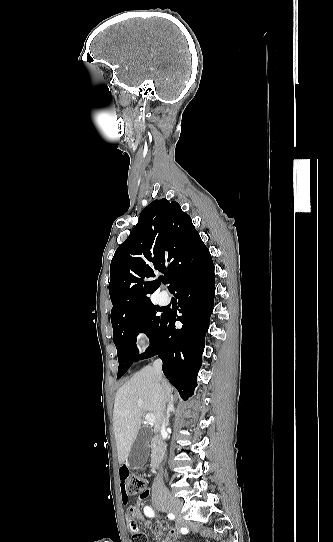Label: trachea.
I'll return each mask as SVG.
<instances>
[{
  "instance_id": "trachea-1",
  "label": "trachea",
  "mask_w": 333,
  "mask_h": 542,
  "mask_svg": "<svg viewBox=\"0 0 333 542\" xmlns=\"http://www.w3.org/2000/svg\"><path fill=\"white\" fill-rule=\"evenodd\" d=\"M163 283H167V280H163Z\"/></svg>"
}]
</instances>
